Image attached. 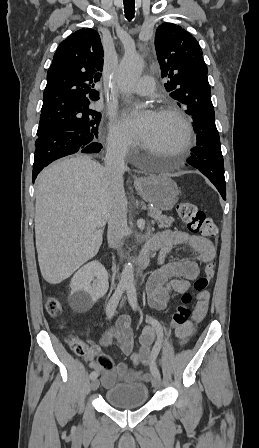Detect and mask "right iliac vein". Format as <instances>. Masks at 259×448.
<instances>
[{"label": "right iliac vein", "mask_w": 259, "mask_h": 448, "mask_svg": "<svg viewBox=\"0 0 259 448\" xmlns=\"http://www.w3.org/2000/svg\"><path fill=\"white\" fill-rule=\"evenodd\" d=\"M99 380L98 379H93L92 380V382H91V390H93V391H95V390H97L98 389V387H99Z\"/></svg>", "instance_id": "1"}]
</instances>
